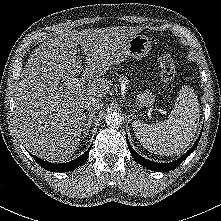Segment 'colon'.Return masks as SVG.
<instances>
[{
  "mask_svg": "<svg viewBox=\"0 0 221 221\" xmlns=\"http://www.w3.org/2000/svg\"><path fill=\"white\" fill-rule=\"evenodd\" d=\"M176 76V64L171 55L165 54L160 58V79L164 87L171 84Z\"/></svg>",
  "mask_w": 221,
  "mask_h": 221,
  "instance_id": "colon-1",
  "label": "colon"
}]
</instances>
